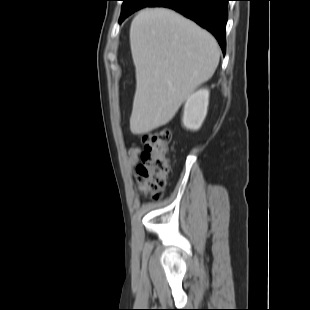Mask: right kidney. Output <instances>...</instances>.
<instances>
[{"label": "right kidney", "instance_id": "right-kidney-1", "mask_svg": "<svg viewBox=\"0 0 310 310\" xmlns=\"http://www.w3.org/2000/svg\"><path fill=\"white\" fill-rule=\"evenodd\" d=\"M209 90L199 89L191 93L185 101L182 123L186 129L197 131L201 128L207 115Z\"/></svg>", "mask_w": 310, "mask_h": 310}]
</instances>
